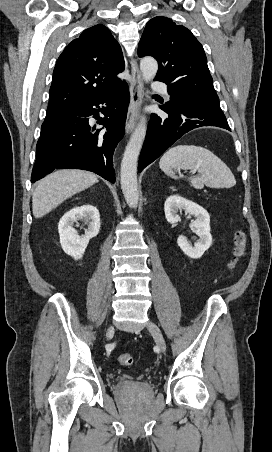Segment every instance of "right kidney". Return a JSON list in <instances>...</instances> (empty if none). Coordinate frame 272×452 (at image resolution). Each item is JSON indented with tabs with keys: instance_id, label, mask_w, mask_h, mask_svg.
<instances>
[{
	"instance_id": "right-kidney-1",
	"label": "right kidney",
	"mask_w": 272,
	"mask_h": 452,
	"mask_svg": "<svg viewBox=\"0 0 272 452\" xmlns=\"http://www.w3.org/2000/svg\"><path fill=\"white\" fill-rule=\"evenodd\" d=\"M88 224L85 235L80 236L73 227L77 221ZM100 230L99 211L93 205H82L74 207L63 215L58 224L60 244L63 251L78 260L81 259L89 240L96 237Z\"/></svg>"
}]
</instances>
